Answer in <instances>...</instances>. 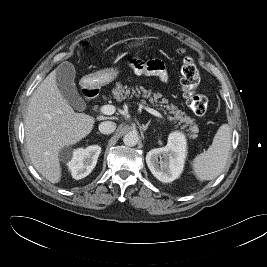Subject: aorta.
<instances>
[{
	"label": "aorta",
	"mask_w": 267,
	"mask_h": 267,
	"mask_svg": "<svg viewBox=\"0 0 267 267\" xmlns=\"http://www.w3.org/2000/svg\"><path fill=\"white\" fill-rule=\"evenodd\" d=\"M139 137L136 132H129L123 137L126 146L133 147L138 143Z\"/></svg>",
	"instance_id": "762f6f07"
}]
</instances>
